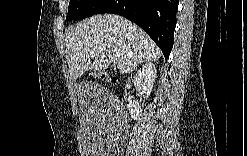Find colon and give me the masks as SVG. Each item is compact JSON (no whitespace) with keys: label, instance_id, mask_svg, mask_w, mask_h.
<instances>
[{"label":"colon","instance_id":"1","mask_svg":"<svg viewBox=\"0 0 247 156\" xmlns=\"http://www.w3.org/2000/svg\"><path fill=\"white\" fill-rule=\"evenodd\" d=\"M108 81L111 82V83H115V80L112 79V78H108Z\"/></svg>","mask_w":247,"mask_h":156}]
</instances>
